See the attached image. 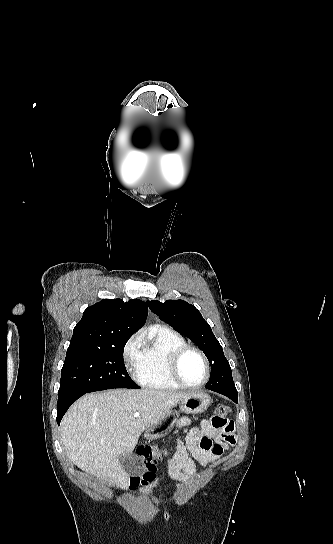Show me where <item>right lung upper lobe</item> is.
<instances>
[{"mask_svg":"<svg viewBox=\"0 0 333 544\" xmlns=\"http://www.w3.org/2000/svg\"><path fill=\"white\" fill-rule=\"evenodd\" d=\"M147 305L133 299H104L88 308L73 330L68 349L105 347L122 336H131L145 323Z\"/></svg>","mask_w":333,"mask_h":544,"instance_id":"1","label":"right lung upper lobe"}]
</instances>
